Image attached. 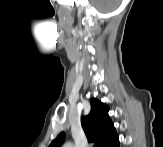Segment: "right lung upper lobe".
Segmentation results:
<instances>
[{
	"label": "right lung upper lobe",
	"mask_w": 163,
	"mask_h": 147,
	"mask_svg": "<svg viewBox=\"0 0 163 147\" xmlns=\"http://www.w3.org/2000/svg\"><path fill=\"white\" fill-rule=\"evenodd\" d=\"M89 115L82 117L81 125L87 136L88 142L96 143L97 147H109L118 137L116 129L108 115L109 107L102 102L91 99ZM65 134L60 133L49 147H60Z\"/></svg>",
	"instance_id": "obj_1"
}]
</instances>
